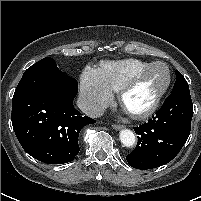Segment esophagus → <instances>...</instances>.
Listing matches in <instances>:
<instances>
[{
    "instance_id": "1",
    "label": "esophagus",
    "mask_w": 201,
    "mask_h": 201,
    "mask_svg": "<svg viewBox=\"0 0 201 201\" xmlns=\"http://www.w3.org/2000/svg\"><path fill=\"white\" fill-rule=\"evenodd\" d=\"M112 127H113V129H115V130H120V129L123 128V125H120V124H113Z\"/></svg>"
}]
</instances>
